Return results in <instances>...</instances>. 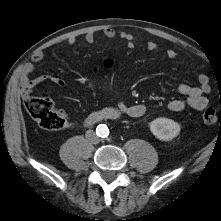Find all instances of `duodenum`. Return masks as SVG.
Listing matches in <instances>:
<instances>
[{"label":"duodenum","mask_w":221,"mask_h":221,"mask_svg":"<svg viewBox=\"0 0 221 221\" xmlns=\"http://www.w3.org/2000/svg\"><path fill=\"white\" fill-rule=\"evenodd\" d=\"M118 117H119V112L117 110L108 108L102 111L91 113L86 119L85 123L91 125L102 120H115Z\"/></svg>","instance_id":"obj_1"}]
</instances>
